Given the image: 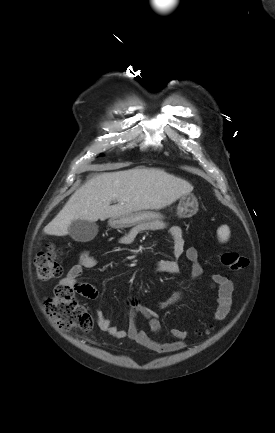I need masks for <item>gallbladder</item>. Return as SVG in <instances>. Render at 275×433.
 Instances as JSON below:
<instances>
[{"label": "gallbladder", "instance_id": "gallbladder-1", "mask_svg": "<svg viewBox=\"0 0 275 433\" xmlns=\"http://www.w3.org/2000/svg\"><path fill=\"white\" fill-rule=\"evenodd\" d=\"M68 233L75 241L89 242L96 237L98 226L95 222L75 220L68 227Z\"/></svg>", "mask_w": 275, "mask_h": 433}]
</instances>
